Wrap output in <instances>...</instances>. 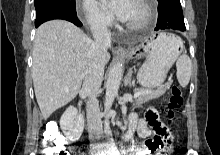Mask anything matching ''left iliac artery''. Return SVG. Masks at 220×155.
<instances>
[{
	"label": "left iliac artery",
	"mask_w": 220,
	"mask_h": 155,
	"mask_svg": "<svg viewBox=\"0 0 220 155\" xmlns=\"http://www.w3.org/2000/svg\"><path fill=\"white\" fill-rule=\"evenodd\" d=\"M111 155H120V152L118 151V149L115 147L112 149V154Z\"/></svg>",
	"instance_id": "left-iliac-artery-1"
}]
</instances>
